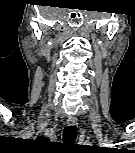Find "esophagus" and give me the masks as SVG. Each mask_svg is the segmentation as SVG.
<instances>
[{
  "label": "esophagus",
  "instance_id": "1",
  "mask_svg": "<svg viewBox=\"0 0 135 153\" xmlns=\"http://www.w3.org/2000/svg\"><path fill=\"white\" fill-rule=\"evenodd\" d=\"M67 124L72 126V125H76L77 124V118L76 117H69L68 120H67Z\"/></svg>",
  "mask_w": 135,
  "mask_h": 153
}]
</instances>
